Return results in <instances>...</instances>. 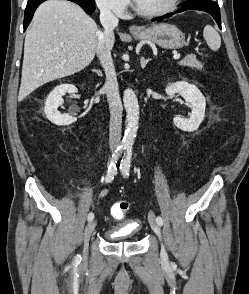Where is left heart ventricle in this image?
I'll list each match as a JSON object with an SVG mask.
<instances>
[{"mask_svg":"<svg viewBox=\"0 0 249 294\" xmlns=\"http://www.w3.org/2000/svg\"><path fill=\"white\" fill-rule=\"evenodd\" d=\"M136 2L146 11H156L167 8L173 0H136Z\"/></svg>","mask_w":249,"mask_h":294,"instance_id":"b2bd125f","label":"left heart ventricle"}]
</instances>
